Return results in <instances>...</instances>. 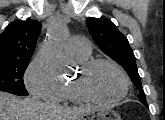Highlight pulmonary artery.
Wrapping results in <instances>:
<instances>
[{"label":"pulmonary artery","mask_w":165,"mask_h":120,"mask_svg":"<svg viewBox=\"0 0 165 120\" xmlns=\"http://www.w3.org/2000/svg\"><path fill=\"white\" fill-rule=\"evenodd\" d=\"M66 51L71 57L81 58L89 56L91 46L87 39L81 36H74L68 41Z\"/></svg>","instance_id":"1"}]
</instances>
